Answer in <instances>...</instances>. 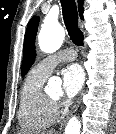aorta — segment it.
Listing matches in <instances>:
<instances>
[{"instance_id":"762f6f07","label":"aorta","mask_w":116,"mask_h":134,"mask_svg":"<svg viewBox=\"0 0 116 134\" xmlns=\"http://www.w3.org/2000/svg\"><path fill=\"white\" fill-rule=\"evenodd\" d=\"M65 39L64 28L57 22H45L40 30L38 44L45 53L57 51ZM49 85L60 87L59 79L49 80ZM81 123L76 117H72L66 128L65 134H80Z\"/></svg>"}]
</instances>
